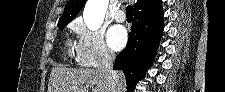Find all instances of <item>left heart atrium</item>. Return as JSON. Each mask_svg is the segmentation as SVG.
<instances>
[{
	"instance_id": "1",
	"label": "left heart atrium",
	"mask_w": 225,
	"mask_h": 92,
	"mask_svg": "<svg viewBox=\"0 0 225 92\" xmlns=\"http://www.w3.org/2000/svg\"><path fill=\"white\" fill-rule=\"evenodd\" d=\"M107 42L111 49L121 50L127 42V32L122 26H113L107 36Z\"/></svg>"
}]
</instances>
